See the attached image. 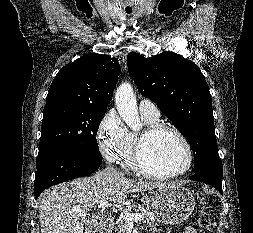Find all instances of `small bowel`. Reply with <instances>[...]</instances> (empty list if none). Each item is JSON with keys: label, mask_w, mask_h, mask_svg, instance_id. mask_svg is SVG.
<instances>
[{"label": "small bowel", "mask_w": 253, "mask_h": 233, "mask_svg": "<svg viewBox=\"0 0 253 233\" xmlns=\"http://www.w3.org/2000/svg\"><path fill=\"white\" fill-rule=\"evenodd\" d=\"M184 233H197L196 229L193 228V227H187L185 230H184Z\"/></svg>", "instance_id": "obj_1"}]
</instances>
